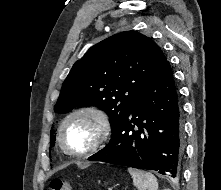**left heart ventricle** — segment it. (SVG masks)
I'll list each match as a JSON object with an SVG mask.
<instances>
[{
  "label": "left heart ventricle",
  "mask_w": 221,
  "mask_h": 190,
  "mask_svg": "<svg viewBox=\"0 0 221 190\" xmlns=\"http://www.w3.org/2000/svg\"><path fill=\"white\" fill-rule=\"evenodd\" d=\"M96 133V121L91 116L78 115L65 125L63 140L68 148L82 151L93 143Z\"/></svg>",
  "instance_id": "1"
}]
</instances>
